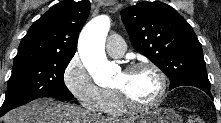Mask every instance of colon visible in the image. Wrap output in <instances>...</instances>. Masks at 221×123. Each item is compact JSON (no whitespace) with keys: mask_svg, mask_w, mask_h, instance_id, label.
<instances>
[{"mask_svg":"<svg viewBox=\"0 0 221 123\" xmlns=\"http://www.w3.org/2000/svg\"><path fill=\"white\" fill-rule=\"evenodd\" d=\"M204 122H205L204 119L196 114H193L188 118V123H204Z\"/></svg>","mask_w":221,"mask_h":123,"instance_id":"obj_1","label":"colon"}]
</instances>
